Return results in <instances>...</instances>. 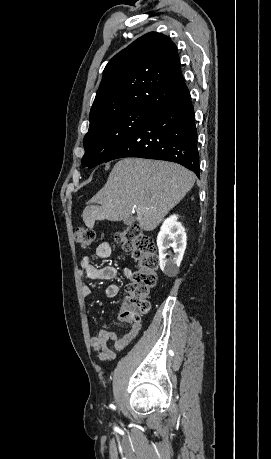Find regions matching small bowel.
<instances>
[{"mask_svg":"<svg viewBox=\"0 0 271 459\" xmlns=\"http://www.w3.org/2000/svg\"><path fill=\"white\" fill-rule=\"evenodd\" d=\"M112 255V247L108 242H101L92 254H87L81 257L79 261V270L81 275L92 280H113L118 275V270L114 266H95L92 261L95 258L108 259ZM123 275L131 280L133 271L130 268L123 269ZM119 285L116 283L110 284L105 295L108 298H114L119 293ZM92 291L87 285L82 287L84 297H89ZM119 318L123 321H128L119 314ZM141 324L139 322L132 323L127 333L118 337L113 332L100 330L95 336L90 339L91 347L97 352L98 357L103 362H111L115 358V353L108 347V341H112L115 349L122 350L125 348L140 332Z\"/></svg>","mask_w":271,"mask_h":459,"instance_id":"1","label":"small bowel"}]
</instances>
